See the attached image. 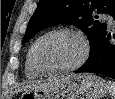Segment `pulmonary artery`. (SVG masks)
I'll return each instance as SVG.
<instances>
[{"mask_svg":"<svg viewBox=\"0 0 115 99\" xmlns=\"http://www.w3.org/2000/svg\"><path fill=\"white\" fill-rule=\"evenodd\" d=\"M102 19L105 20L109 25L113 24L112 18L107 14L102 15Z\"/></svg>","mask_w":115,"mask_h":99,"instance_id":"obj_1","label":"pulmonary artery"}]
</instances>
